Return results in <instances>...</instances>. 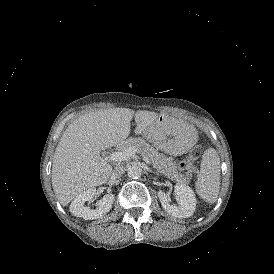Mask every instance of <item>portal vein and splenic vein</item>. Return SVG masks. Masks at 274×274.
I'll return each instance as SVG.
<instances>
[{
  "label": "portal vein and splenic vein",
  "mask_w": 274,
  "mask_h": 274,
  "mask_svg": "<svg viewBox=\"0 0 274 274\" xmlns=\"http://www.w3.org/2000/svg\"><path fill=\"white\" fill-rule=\"evenodd\" d=\"M135 154V149L132 147H127L119 151H113L111 154H109L105 159H101L102 162L108 163V162H120L127 160L129 157L133 156ZM144 161L146 164L150 165V160L144 156Z\"/></svg>",
  "instance_id": "1"
}]
</instances>
